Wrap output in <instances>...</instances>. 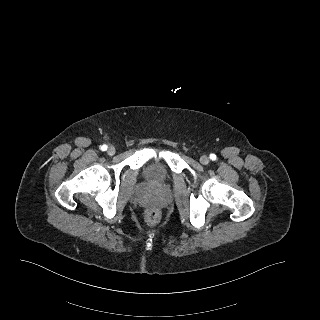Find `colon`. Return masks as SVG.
Returning <instances> with one entry per match:
<instances>
[{
  "label": "colon",
  "instance_id": "obj_1",
  "mask_svg": "<svg viewBox=\"0 0 320 320\" xmlns=\"http://www.w3.org/2000/svg\"><path fill=\"white\" fill-rule=\"evenodd\" d=\"M160 211L156 208H150L145 213V220L148 224L152 225L159 221L160 219Z\"/></svg>",
  "mask_w": 320,
  "mask_h": 320
}]
</instances>
